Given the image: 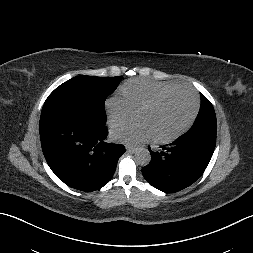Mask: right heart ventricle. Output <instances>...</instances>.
I'll return each mask as SVG.
<instances>
[{"label":"right heart ventricle","mask_w":253,"mask_h":253,"mask_svg":"<svg viewBox=\"0 0 253 253\" xmlns=\"http://www.w3.org/2000/svg\"><path fill=\"white\" fill-rule=\"evenodd\" d=\"M177 86L175 83L135 79L126 82L121 93L133 111H138L158 93Z\"/></svg>","instance_id":"e07e8e85"}]
</instances>
